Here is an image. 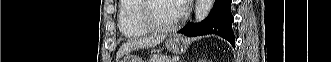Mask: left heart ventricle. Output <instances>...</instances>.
<instances>
[{
	"mask_svg": "<svg viewBox=\"0 0 331 62\" xmlns=\"http://www.w3.org/2000/svg\"><path fill=\"white\" fill-rule=\"evenodd\" d=\"M150 15L161 25L170 24L179 17L175 2L170 0L152 1Z\"/></svg>",
	"mask_w": 331,
	"mask_h": 62,
	"instance_id": "left-heart-ventricle-1",
	"label": "left heart ventricle"
}]
</instances>
